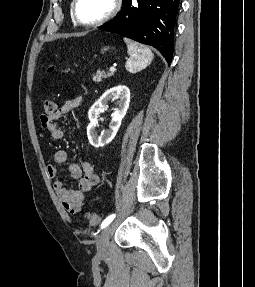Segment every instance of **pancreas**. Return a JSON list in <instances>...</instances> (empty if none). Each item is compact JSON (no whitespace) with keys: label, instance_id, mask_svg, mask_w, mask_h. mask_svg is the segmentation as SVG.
I'll use <instances>...</instances> for the list:
<instances>
[{"label":"pancreas","instance_id":"pancreas-1","mask_svg":"<svg viewBox=\"0 0 255 287\" xmlns=\"http://www.w3.org/2000/svg\"><path fill=\"white\" fill-rule=\"evenodd\" d=\"M110 76H113L112 72H101V70H97L96 74L92 76L93 82H102V78H110Z\"/></svg>","mask_w":255,"mask_h":287}]
</instances>
